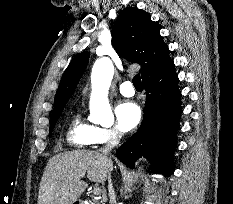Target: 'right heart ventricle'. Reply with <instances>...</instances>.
I'll list each match as a JSON object with an SVG mask.
<instances>
[{
    "instance_id": "e07e8e85",
    "label": "right heart ventricle",
    "mask_w": 233,
    "mask_h": 204,
    "mask_svg": "<svg viewBox=\"0 0 233 204\" xmlns=\"http://www.w3.org/2000/svg\"><path fill=\"white\" fill-rule=\"evenodd\" d=\"M96 127L86 121L80 112H77L68 127L67 140L78 148L86 147L93 144V136Z\"/></svg>"
}]
</instances>
